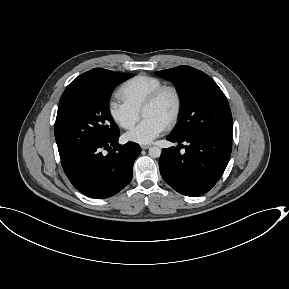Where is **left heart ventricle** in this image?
I'll return each instance as SVG.
<instances>
[{
    "instance_id": "b2bd125f",
    "label": "left heart ventricle",
    "mask_w": 289,
    "mask_h": 289,
    "mask_svg": "<svg viewBox=\"0 0 289 289\" xmlns=\"http://www.w3.org/2000/svg\"><path fill=\"white\" fill-rule=\"evenodd\" d=\"M175 107V99L171 92L164 93L156 104L142 112L144 118L152 117L166 125Z\"/></svg>"
}]
</instances>
